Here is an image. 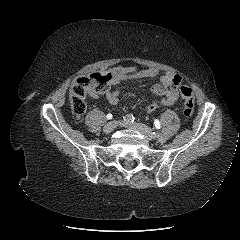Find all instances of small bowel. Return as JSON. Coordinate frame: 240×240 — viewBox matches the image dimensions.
I'll list each match as a JSON object with an SVG mask.
<instances>
[{"label":"small bowel","instance_id":"small-bowel-1","mask_svg":"<svg viewBox=\"0 0 240 240\" xmlns=\"http://www.w3.org/2000/svg\"><path fill=\"white\" fill-rule=\"evenodd\" d=\"M108 73L111 79L105 91L106 98L111 105H115L119 101V92L112 87L121 82L140 78H154L159 75L157 68L141 69L136 66L123 67L118 66L110 69ZM182 78L172 72H166L160 76L159 83L151 88L152 94L161 97L160 100H151L148 111H154L160 105H172L178 99L177 87L181 84ZM94 97L97 94H92Z\"/></svg>","mask_w":240,"mask_h":240}]
</instances>
